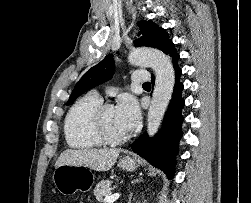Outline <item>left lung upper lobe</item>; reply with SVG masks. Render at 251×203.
I'll return each instance as SVG.
<instances>
[{
    "mask_svg": "<svg viewBox=\"0 0 251 203\" xmlns=\"http://www.w3.org/2000/svg\"><path fill=\"white\" fill-rule=\"evenodd\" d=\"M141 37L134 41L135 47L146 46L165 51L172 42L165 30L152 21L137 23ZM115 61L113 55H107L101 62L90 68L74 87L67 105L77 99L85 91L108 81L114 73Z\"/></svg>",
    "mask_w": 251,
    "mask_h": 203,
    "instance_id": "left-lung-upper-lobe-1",
    "label": "left lung upper lobe"
}]
</instances>
